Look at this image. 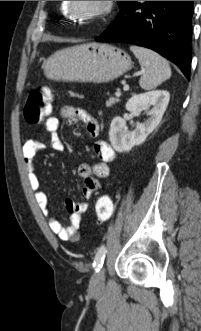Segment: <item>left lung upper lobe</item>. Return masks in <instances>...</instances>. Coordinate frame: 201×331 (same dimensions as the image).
I'll return each mask as SVG.
<instances>
[{
  "label": "left lung upper lobe",
  "mask_w": 201,
  "mask_h": 331,
  "mask_svg": "<svg viewBox=\"0 0 201 331\" xmlns=\"http://www.w3.org/2000/svg\"><path fill=\"white\" fill-rule=\"evenodd\" d=\"M122 2H123V1H117V3L119 4V6L121 5Z\"/></svg>",
  "instance_id": "5c2ea615"
}]
</instances>
